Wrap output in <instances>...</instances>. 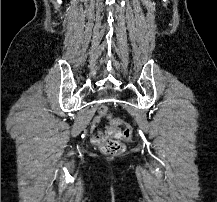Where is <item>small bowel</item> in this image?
Here are the masks:
<instances>
[{
  "instance_id": "small-bowel-1",
  "label": "small bowel",
  "mask_w": 217,
  "mask_h": 202,
  "mask_svg": "<svg viewBox=\"0 0 217 202\" xmlns=\"http://www.w3.org/2000/svg\"><path fill=\"white\" fill-rule=\"evenodd\" d=\"M99 114L96 115L90 124V143L96 146H102L106 141L110 140L112 137L117 138V136H123L120 128H109L106 126L101 129L102 120H99Z\"/></svg>"
}]
</instances>
